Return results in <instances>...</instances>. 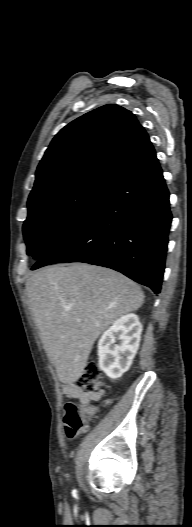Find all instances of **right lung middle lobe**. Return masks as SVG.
<instances>
[{
    "label": "right lung middle lobe",
    "mask_w": 192,
    "mask_h": 527,
    "mask_svg": "<svg viewBox=\"0 0 192 527\" xmlns=\"http://www.w3.org/2000/svg\"><path fill=\"white\" fill-rule=\"evenodd\" d=\"M106 182L87 178L30 197L23 225L27 254L41 259L83 214Z\"/></svg>",
    "instance_id": "right-lung-middle-lobe-1"
}]
</instances>
